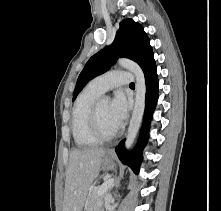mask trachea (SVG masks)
Here are the masks:
<instances>
[{
  "label": "trachea",
  "instance_id": "obj_1",
  "mask_svg": "<svg viewBox=\"0 0 221 211\" xmlns=\"http://www.w3.org/2000/svg\"><path fill=\"white\" fill-rule=\"evenodd\" d=\"M135 84L132 82V83H130V86H134Z\"/></svg>",
  "mask_w": 221,
  "mask_h": 211
}]
</instances>
